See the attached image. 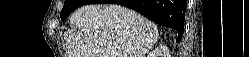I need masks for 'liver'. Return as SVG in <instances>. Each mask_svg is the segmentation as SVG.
Here are the masks:
<instances>
[{
	"mask_svg": "<svg viewBox=\"0 0 249 57\" xmlns=\"http://www.w3.org/2000/svg\"><path fill=\"white\" fill-rule=\"evenodd\" d=\"M69 57H146L158 40L157 26L117 4H88L70 17Z\"/></svg>",
	"mask_w": 249,
	"mask_h": 57,
	"instance_id": "6515ba94",
	"label": "liver"
}]
</instances>
